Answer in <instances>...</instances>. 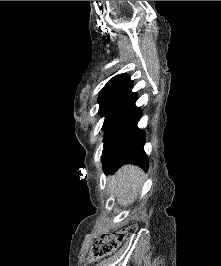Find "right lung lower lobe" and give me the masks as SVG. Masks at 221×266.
<instances>
[{
	"instance_id": "98d812e1",
	"label": "right lung lower lobe",
	"mask_w": 221,
	"mask_h": 266,
	"mask_svg": "<svg viewBox=\"0 0 221 266\" xmlns=\"http://www.w3.org/2000/svg\"><path fill=\"white\" fill-rule=\"evenodd\" d=\"M140 117L141 110L134 103L105 141L102 153L105 172L113 174L124 164H134L148 169L149 163L143 149L145 133L137 127Z\"/></svg>"
}]
</instances>
